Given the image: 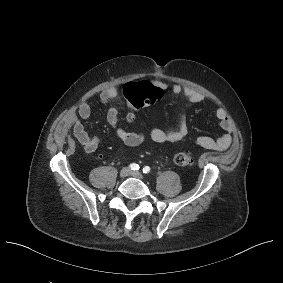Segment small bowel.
<instances>
[{"label": "small bowel", "mask_w": 283, "mask_h": 283, "mask_svg": "<svg viewBox=\"0 0 283 283\" xmlns=\"http://www.w3.org/2000/svg\"><path fill=\"white\" fill-rule=\"evenodd\" d=\"M153 83L165 90L168 88V82L160 77L153 79ZM172 92L175 95L184 96L191 104L199 103L203 100V96L190 89L181 86L178 83L173 84ZM118 96L116 88L110 87L103 90L100 94V100L104 105H109L106 113V120L114 129L117 138L127 146H138L146 140V135L142 132H129L119 125V111L117 106L110 105ZM216 118L219 121L220 127L224 133L214 139L207 136H200L196 139V144L206 149L224 151L232 141V133L234 126L232 120L224 108H218L215 112ZM92 117L91 108L86 100H82L78 106L76 113L70 115L66 121L67 126L72 127L73 134L79 143L83 146L84 151L88 154L94 153L99 146V137L97 135L88 134L81 120L89 121ZM188 134V127L183 121L180 127L174 131H164L159 128H154L149 133V138L155 143H177L182 141Z\"/></svg>", "instance_id": "c3829d8e"}]
</instances>
